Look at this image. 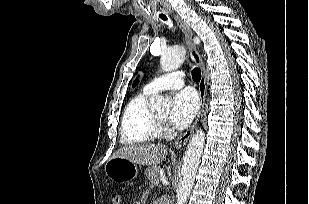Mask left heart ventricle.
Returning a JSON list of instances; mask_svg holds the SVG:
<instances>
[{
  "instance_id": "left-heart-ventricle-1",
  "label": "left heart ventricle",
  "mask_w": 309,
  "mask_h": 204,
  "mask_svg": "<svg viewBox=\"0 0 309 204\" xmlns=\"http://www.w3.org/2000/svg\"><path fill=\"white\" fill-rule=\"evenodd\" d=\"M158 117H159L160 119H162V120H166L167 117H168V113L160 114V115H158Z\"/></svg>"
}]
</instances>
